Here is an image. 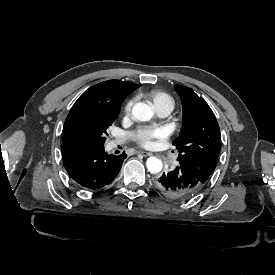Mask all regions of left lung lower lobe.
<instances>
[{"mask_svg": "<svg viewBox=\"0 0 275 275\" xmlns=\"http://www.w3.org/2000/svg\"><path fill=\"white\" fill-rule=\"evenodd\" d=\"M154 185L163 196L171 200H188L204 186L201 181L180 166L156 178Z\"/></svg>", "mask_w": 275, "mask_h": 275, "instance_id": "obj_1", "label": "left lung lower lobe"}]
</instances>
